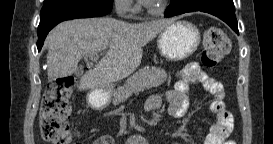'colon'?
Listing matches in <instances>:
<instances>
[{
  "label": "colon",
  "instance_id": "obj_1",
  "mask_svg": "<svg viewBox=\"0 0 273 144\" xmlns=\"http://www.w3.org/2000/svg\"><path fill=\"white\" fill-rule=\"evenodd\" d=\"M202 64L215 67L228 53L229 39L222 28L210 25L203 36ZM75 84L73 77H61L50 83L40 110V131L48 143L69 144L74 140L68 118L71 114L69 95Z\"/></svg>",
  "mask_w": 273,
  "mask_h": 144
}]
</instances>
